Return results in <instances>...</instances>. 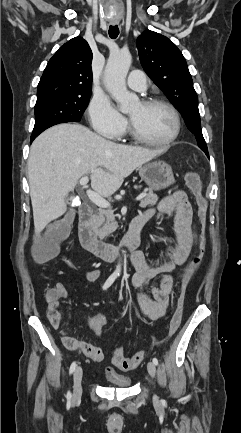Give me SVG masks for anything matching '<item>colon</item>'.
Segmentation results:
<instances>
[{
    "mask_svg": "<svg viewBox=\"0 0 241 433\" xmlns=\"http://www.w3.org/2000/svg\"><path fill=\"white\" fill-rule=\"evenodd\" d=\"M188 184L195 196L196 204L198 206V216L201 222L202 230L205 227L206 220V202L202 195V186L198 176L190 172L187 174ZM65 214H74V205H65ZM68 230V219L63 218L54 224L45 235L37 240L33 248V255L37 261H45L50 258L56 251L61 239L66 235ZM205 249V238L202 235L200 243V253L190 262L186 267L180 282L179 294L177 299L176 308L173 312L169 323V335H173L179 328L187 297L189 284L201 264V258ZM48 296H53V293H48ZM145 357L143 352H137L132 356H127L122 347H117L114 351L112 361L115 366L122 370H131L141 364ZM113 369H109L107 373H114Z\"/></svg>",
    "mask_w": 241,
    "mask_h": 433,
    "instance_id": "1",
    "label": "colon"
}]
</instances>
